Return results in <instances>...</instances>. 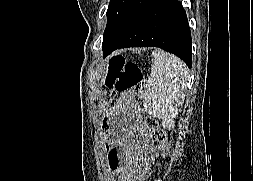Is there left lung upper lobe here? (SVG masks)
Masks as SVG:
<instances>
[{"label": "left lung upper lobe", "instance_id": "5c2ea615", "mask_svg": "<svg viewBox=\"0 0 253 181\" xmlns=\"http://www.w3.org/2000/svg\"><path fill=\"white\" fill-rule=\"evenodd\" d=\"M132 0H110V4L107 10V26L104 32V36L110 31L118 18L121 16L125 8L130 4Z\"/></svg>", "mask_w": 253, "mask_h": 181}]
</instances>
